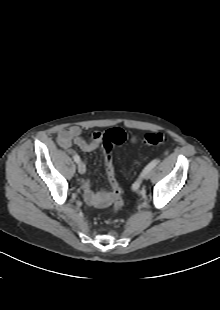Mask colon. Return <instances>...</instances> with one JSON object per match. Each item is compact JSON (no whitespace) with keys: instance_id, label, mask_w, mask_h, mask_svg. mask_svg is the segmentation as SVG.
I'll list each match as a JSON object with an SVG mask.
<instances>
[{"instance_id":"obj_1","label":"colon","mask_w":220,"mask_h":310,"mask_svg":"<svg viewBox=\"0 0 220 310\" xmlns=\"http://www.w3.org/2000/svg\"><path fill=\"white\" fill-rule=\"evenodd\" d=\"M126 140L124 130L118 127L108 129L102 136L101 144L106 154V169L108 179L112 189V195L108 198L106 205H109L113 211L122 208L124 201L122 198L121 187L116 179L115 168L112 158V149L114 146L121 145ZM143 143L149 146H159L166 141L164 134L159 132H150L143 137Z\"/></svg>"}]
</instances>
